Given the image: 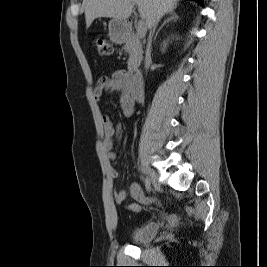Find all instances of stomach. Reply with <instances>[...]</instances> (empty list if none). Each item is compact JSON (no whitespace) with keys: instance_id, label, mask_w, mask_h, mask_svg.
<instances>
[{"instance_id":"obj_1","label":"stomach","mask_w":267,"mask_h":267,"mask_svg":"<svg viewBox=\"0 0 267 267\" xmlns=\"http://www.w3.org/2000/svg\"><path fill=\"white\" fill-rule=\"evenodd\" d=\"M108 29L110 40L114 43H122L128 35L129 24L126 20L113 18L109 22Z\"/></svg>"}]
</instances>
